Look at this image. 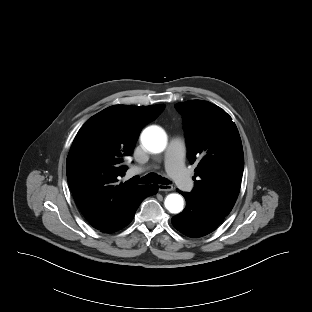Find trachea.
Masks as SVG:
<instances>
[{
  "label": "trachea",
  "mask_w": 312,
  "mask_h": 312,
  "mask_svg": "<svg viewBox=\"0 0 312 312\" xmlns=\"http://www.w3.org/2000/svg\"><path fill=\"white\" fill-rule=\"evenodd\" d=\"M153 182L158 183V184H170L171 183L168 179L163 178L160 175H157L154 173L147 174L139 181V183L141 184H149Z\"/></svg>",
  "instance_id": "obj_1"
}]
</instances>
